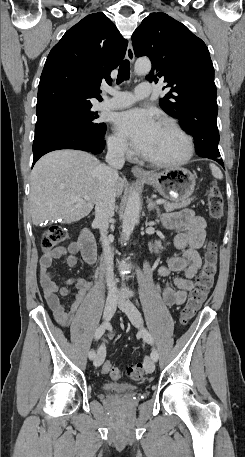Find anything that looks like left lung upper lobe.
<instances>
[{
    "label": "left lung upper lobe",
    "instance_id": "obj_1",
    "mask_svg": "<svg viewBox=\"0 0 245 457\" xmlns=\"http://www.w3.org/2000/svg\"><path fill=\"white\" fill-rule=\"evenodd\" d=\"M137 57L148 56L152 69L146 79L163 80L170 91L160 107L170 116L189 121L207 114L217 117L214 68L208 48L185 25L165 13H151L132 35Z\"/></svg>",
    "mask_w": 245,
    "mask_h": 457
}]
</instances>
